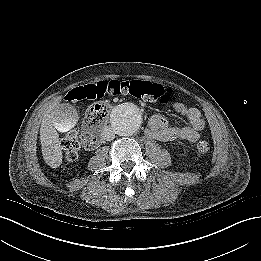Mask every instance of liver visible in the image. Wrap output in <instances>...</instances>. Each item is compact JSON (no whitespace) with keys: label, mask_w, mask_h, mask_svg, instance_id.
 I'll return each mask as SVG.
<instances>
[{"label":"liver","mask_w":261,"mask_h":261,"mask_svg":"<svg viewBox=\"0 0 261 261\" xmlns=\"http://www.w3.org/2000/svg\"><path fill=\"white\" fill-rule=\"evenodd\" d=\"M62 96L54 98L47 107L40 127V142L45 163L51 168H58L62 163V146L57 131L66 132L73 128L78 115L74 118H59L55 109L61 102Z\"/></svg>","instance_id":"6515ba94"}]
</instances>
